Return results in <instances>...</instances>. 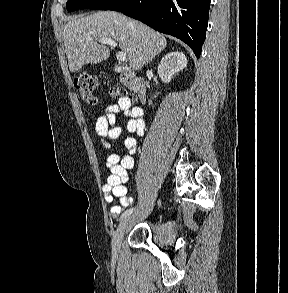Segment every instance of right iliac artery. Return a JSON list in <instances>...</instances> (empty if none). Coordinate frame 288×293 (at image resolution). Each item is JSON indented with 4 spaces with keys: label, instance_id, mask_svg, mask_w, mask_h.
Here are the masks:
<instances>
[{
    "label": "right iliac artery",
    "instance_id": "82829eb1",
    "mask_svg": "<svg viewBox=\"0 0 288 293\" xmlns=\"http://www.w3.org/2000/svg\"><path fill=\"white\" fill-rule=\"evenodd\" d=\"M133 208H130L129 210H126L123 214H122V216H121V219H123V218H125V217H127L128 215H130L132 212H133Z\"/></svg>",
    "mask_w": 288,
    "mask_h": 293
}]
</instances>
